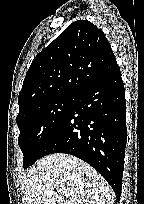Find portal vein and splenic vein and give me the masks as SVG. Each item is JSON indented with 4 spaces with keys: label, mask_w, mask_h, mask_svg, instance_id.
Wrapping results in <instances>:
<instances>
[{
    "label": "portal vein and splenic vein",
    "mask_w": 144,
    "mask_h": 204,
    "mask_svg": "<svg viewBox=\"0 0 144 204\" xmlns=\"http://www.w3.org/2000/svg\"><path fill=\"white\" fill-rule=\"evenodd\" d=\"M49 194H50V195H53V193H52V192H50Z\"/></svg>",
    "instance_id": "obj_1"
}]
</instances>
